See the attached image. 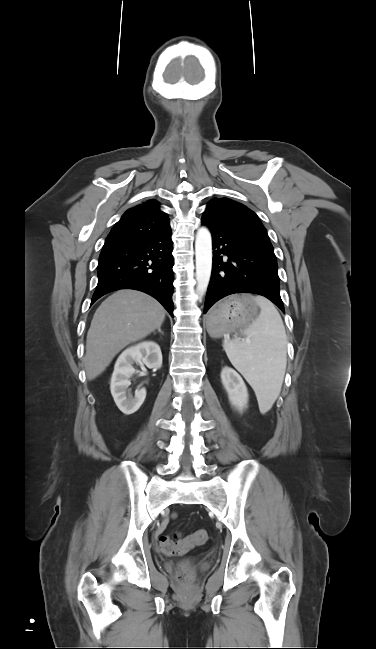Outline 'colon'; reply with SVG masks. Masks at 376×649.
Returning a JSON list of instances; mask_svg holds the SVG:
<instances>
[{"label": "colon", "mask_w": 376, "mask_h": 649, "mask_svg": "<svg viewBox=\"0 0 376 649\" xmlns=\"http://www.w3.org/2000/svg\"><path fill=\"white\" fill-rule=\"evenodd\" d=\"M208 540V534L204 530L195 531L188 539H181L178 535L162 536L160 538L161 549L168 554H181L191 544H204ZM192 577L191 569L181 565L176 572V579L181 584H186Z\"/></svg>", "instance_id": "5ec220e1"}]
</instances>
